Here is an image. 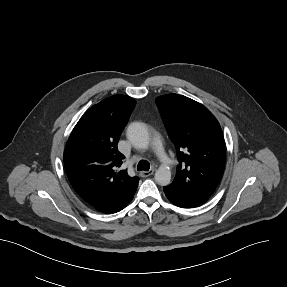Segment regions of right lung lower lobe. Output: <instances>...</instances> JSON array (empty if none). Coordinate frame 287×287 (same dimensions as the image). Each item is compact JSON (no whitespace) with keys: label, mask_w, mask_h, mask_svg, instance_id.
<instances>
[{"label":"right lung lower lobe","mask_w":287,"mask_h":287,"mask_svg":"<svg viewBox=\"0 0 287 287\" xmlns=\"http://www.w3.org/2000/svg\"><path fill=\"white\" fill-rule=\"evenodd\" d=\"M137 190V187L122 192L116 195H113L109 198L104 199L98 203L90 204L92 208L96 211L106 214H112L121 211L125 208L128 203L133 199V196Z\"/></svg>","instance_id":"1"}]
</instances>
